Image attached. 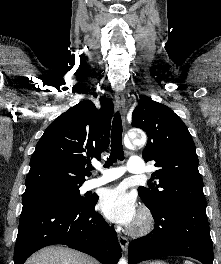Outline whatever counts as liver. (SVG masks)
Wrapping results in <instances>:
<instances>
[{"label":"liver","mask_w":221,"mask_h":264,"mask_svg":"<svg viewBox=\"0 0 221 264\" xmlns=\"http://www.w3.org/2000/svg\"><path fill=\"white\" fill-rule=\"evenodd\" d=\"M25 264H99L92 257L60 246L46 247L33 254Z\"/></svg>","instance_id":"1"}]
</instances>
